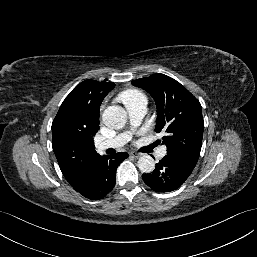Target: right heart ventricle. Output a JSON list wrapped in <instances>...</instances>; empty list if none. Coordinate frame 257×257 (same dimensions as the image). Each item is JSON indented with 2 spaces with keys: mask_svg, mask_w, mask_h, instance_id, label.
I'll list each match as a JSON object with an SVG mask.
<instances>
[{
  "mask_svg": "<svg viewBox=\"0 0 257 257\" xmlns=\"http://www.w3.org/2000/svg\"><path fill=\"white\" fill-rule=\"evenodd\" d=\"M119 100L122 101L125 104V106L127 107L134 103L147 102V97L140 90L128 89V90L123 91L119 95Z\"/></svg>",
  "mask_w": 257,
  "mask_h": 257,
  "instance_id": "obj_1",
  "label": "right heart ventricle"
}]
</instances>
